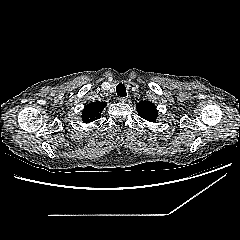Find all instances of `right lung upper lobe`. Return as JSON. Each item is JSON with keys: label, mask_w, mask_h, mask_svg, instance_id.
Instances as JSON below:
<instances>
[{"label": "right lung upper lobe", "mask_w": 240, "mask_h": 240, "mask_svg": "<svg viewBox=\"0 0 240 240\" xmlns=\"http://www.w3.org/2000/svg\"><path fill=\"white\" fill-rule=\"evenodd\" d=\"M107 105L106 102H91L86 105L82 112V120L84 123H91L101 117V112Z\"/></svg>", "instance_id": "obj_1"}]
</instances>
